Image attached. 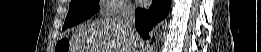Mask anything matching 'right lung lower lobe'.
I'll use <instances>...</instances> for the list:
<instances>
[{
  "instance_id": "98d812e1",
  "label": "right lung lower lobe",
  "mask_w": 261,
  "mask_h": 52,
  "mask_svg": "<svg viewBox=\"0 0 261 52\" xmlns=\"http://www.w3.org/2000/svg\"><path fill=\"white\" fill-rule=\"evenodd\" d=\"M169 6L170 0H152V6L149 9L135 11V27L144 39L149 37L152 27L167 16Z\"/></svg>"
}]
</instances>
